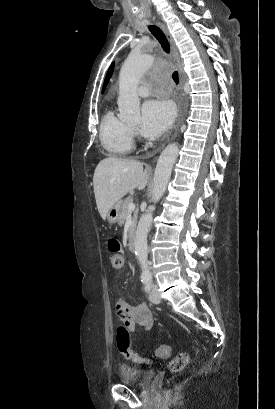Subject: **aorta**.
<instances>
[{"instance_id": "1", "label": "aorta", "mask_w": 275, "mask_h": 409, "mask_svg": "<svg viewBox=\"0 0 275 409\" xmlns=\"http://www.w3.org/2000/svg\"><path fill=\"white\" fill-rule=\"evenodd\" d=\"M162 54L159 51H129L127 58L119 72V96L117 100L120 120L125 122H139L140 116V98L137 94L138 82L143 76L146 65H155L157 60L161 59ZM179 154L178 144L171 142L162 150L154 172L153 182V200L157 202L163 196L169 178L171 176L173 164ZM155 207H149L148 213L142 215L134 241L135 255L141 265L142 281H151L152 273L148 265L147 235L152 223V213Z\"/></svg>"}]
</instances>
